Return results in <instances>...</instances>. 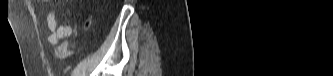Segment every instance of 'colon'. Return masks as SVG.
Instances as JSON below:
<instances>
[{"mask_svg":"<svg viewBox=\"0 0 333 76\" xmlns=\"http://www.w3.org/2000/svg\"><path fill=\"white\" fill-rule=\"evenodd\" d=\"M89 26H90V22L87 21L85 23L84 27H85V29H88ZM70 53H71V51H70V46H69L68 42H64L56 48V55L61 59L67 58L70 55Z\"/></svg>","mask_w":333,"mask_h":76,"instance_id":"colon-1","label":"colon"}]
</instances>
